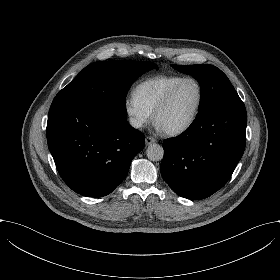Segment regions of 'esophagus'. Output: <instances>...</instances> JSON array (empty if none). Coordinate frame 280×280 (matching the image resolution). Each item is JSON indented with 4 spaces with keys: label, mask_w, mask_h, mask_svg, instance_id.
<instances>
[{
    "label": "esophagus",
    "mask_w": 280,
    "mask_h": 280,
    "mask_svg": "<svg viewBox=\"0 0 280 280\" xmlns=\"http://www.w3.org/2000/svg\"><path fill=\"white\" fill-rule=\"evenodd\" d=\"M156 142V139L155 138H153V137H151V136H146L145 137V144L147 145V146H149V145H151V144H153V143H155Z\"/></svg>",
    "instance_id": "esophagus-1"
}]
</instances>
